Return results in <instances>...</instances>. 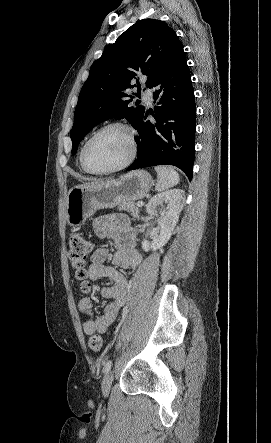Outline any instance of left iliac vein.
Returning a JSON list of instances; mask_svg holds the SVG:
<instances>
[{"label":"left iliac vein","instance_id":"obj_1","mask_svg":"<svg viewBox=\"0 0 271 443\" xmlns=\"http://www.w3.org/2000/svg\"><path fill=\"white\" fill-rule=\"evenodd\" d=\"M112 382H113V373L112 372L106 373V375L103 378L102 386H101L102 393L104 396H108V394L111 390Z\"/></svg>","mask_w":271,"mask_h":443}]
</instances>
